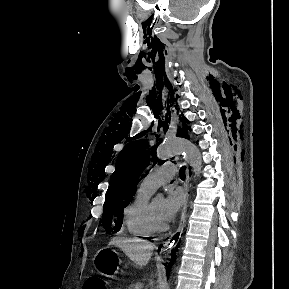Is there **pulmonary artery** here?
Returning <instances> with one entry per match:
<instances>
[{
    "mask_svg": "<svg viewBox=\"0 0 289 289\" xmlns=\"http://www.w3.org/2000/svg\"><path fill=\"white\" fill-rule=\"evenodd\" d=\"M176 167L171 162L163 163L155 167L147 176L143 178L139 189L143 191L153 192L159 186L170 181L175 175Z\"/></svg>",
    "mask_w": 289,
    "mask_h": 289,
    "instance_id": "1",
    "label": "pulmonary artery"
}]
</instances>
